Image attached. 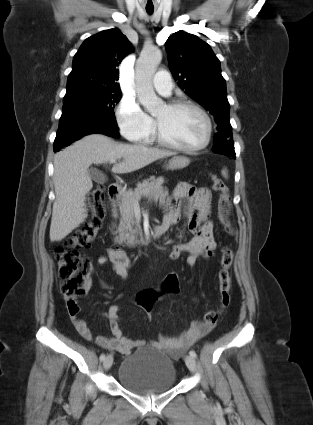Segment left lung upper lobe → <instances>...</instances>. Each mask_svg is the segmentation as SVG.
Wrapping results in <instances>:
<instances>
[{"instance_id":"5c2ea615","label":"left lung upper lobe","mask_w":313,"mask_h":425,"mask_svg":"<svg viewBox=\"0 0 313 425\" xmlns=\"http://www.w3.org/2000/svg\"><path fill=\"white\" fill-rule=\"evenodd\" d=\"M165 47L179 87L214 116L219 132L231 131L226 82L221 75L220 61L211 47L183 31L169 36ZM223 151L235 152L233 142L223 147Z\"/></svg>"}]
</instances>
